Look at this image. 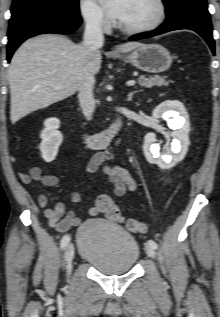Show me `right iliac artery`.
Returning <instances> with one entry per match:
<instances>
[{
  "label": "right iliac artery",
  "instance_id": "obj_1",
  "mask_svg": "<svg viewBox=\"0 0 220 317\" xmlns=\"http://www.w3.org/2000/svg\"><path fill=\"white\" fill-rule=\"evenodd\" d=\"M69 241H70V236L69 235L63 236V238L61 240V244H60L61 249H64L67 246V244L69 243Z\"/></svg>",
  "mask_w": 220,
  "mask_h": 317
}]
</instances>
